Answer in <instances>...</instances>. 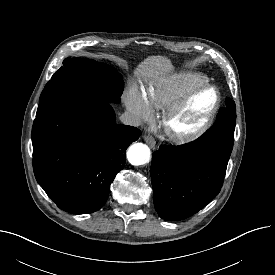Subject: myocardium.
I'll use <instances>...</instances> for the list:
<instances>
[{"mask_svg": "<svg viewBox=\"0 0 275 275\" xmlns=\"http://www.w3.org/2000/svg\"><path fill=\"white\" fill-rule=\"evenodd\" d=\"M207 90H212L215 92L216 100H215V103H214L212 109L210 110V112L208 113V115L206 116L204 121L200 125L195 127L194 129L189 130L187 132L179 133V132L172 131L170 128V124H171L172 120L186 108V106L189 104V102L197 94H199L203 91H207ZM220 103H221L220 92L215 86L210 85V84H204L202 86L192 89L191 91L186 93L182 98H180L177 102L172 104L170 107H168L164 111V113L162 115V119H161V124L165 131V134L167 135V137L170 140L177 142V143H186V142H190V141L197 139L198 137L203 135L212 125V123L216 117V114L219 110Z\"/></svg>", "mask_w": 275, "mask_h": 275, "instance_id": "f54148a6", "label": "myocardium"}]
</instances>
